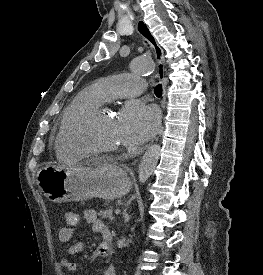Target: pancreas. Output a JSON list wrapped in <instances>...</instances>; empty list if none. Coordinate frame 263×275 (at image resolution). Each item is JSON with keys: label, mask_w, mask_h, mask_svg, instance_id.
Segmentation results:
<instances>
[{"label": "pancreas", "mask_w": 263, "mask_h": 275, "mask_svg": "<svg viewBox=\"0 0 263 275\" xmlns=\"http://www.w3.org/2000/svg\"><path fill=\"white\" fill-rule=\"evenodd\" d=\"M101 218L104 219H110L113 220L114 216H113V207L110 206L109 208L105 209V210H101L98 214Z\"/></svg>", "instance_id": "1"}]
</instances>
